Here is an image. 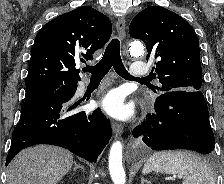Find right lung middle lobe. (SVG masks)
Returning <instances> with one entry per match:
<instances>
[{
	"mask_svg": "<svg viewBox=\"0 0 224 184\" xmlns=\"http://www.w3.org/2000/svg\"><path fill=\"white\" fill-rule=\"evenodd\" d=\"M64 86L66 85L37 84V85L26 86L25 100L30 99L34 96L43 94V93L56 91Z\"/></svg>",
	"mask_w": 224,
	"mask_h": 184,
	"instance_id": "obj_1",
	"label": "right lung middle lobe"
}]
</instances>
